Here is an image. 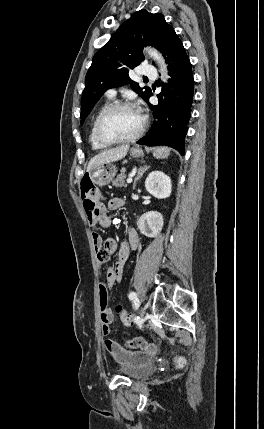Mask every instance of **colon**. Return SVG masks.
Wrapping results in <instances>:
<instances>
[{
    "label": "colon",
    "instance_id": "5ec220e1",
    "mask_svg": "<svg viewBox=\"0 0 264 429\" xmlns=\"http://www.w3.org/2000/svg\"><path fill=\"white\" fill-rule=\"evenodd\" d=\"M81 197L83 206L88 215L96 214L104 202V194L102 191L93 185L90 180H84L81 183ZM116 313L118 314L120 321L125 326H133L135 324L134 318L131 313H129L122 306L118 305L116 307ZM125 347L130 349H140L144 347V341L140 338H134L126 340ZM186 360L184 357L179 356L176 359V364L180 367L184 366Z\"/></svg>",
    "mask_w": 264,
    "mask_h": 429
}]
</instances>
